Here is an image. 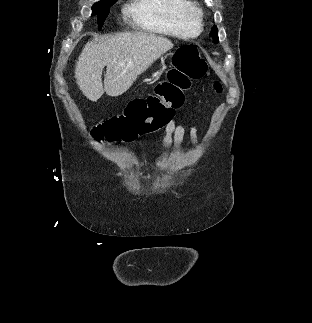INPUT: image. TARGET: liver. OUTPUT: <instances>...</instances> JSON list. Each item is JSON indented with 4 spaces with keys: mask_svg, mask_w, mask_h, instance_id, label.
Here are the masks:
<instances>
[{
    "mask_svg": "<svg viewBox=\"0 0 312 323\" xmlns=\"http://www.w3.org/2000/svg\"><path fill=\"white\" fill-rule=\"evenodd\" d=\"M173 48L168 38L144 32H124L105 36L100 42H88L75 68L76 82L84 96L97 102L107 96H122L136 78L146 72L162 54ZM106 68L104 84L102 72Z\"/></svg>",
    "mask_w": 312,
    "mask_h": 323,
    "instance_id": "6515ba94",
    "label": "liver"
}]
</instances>
